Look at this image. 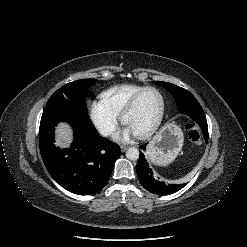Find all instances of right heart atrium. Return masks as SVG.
<instances>
[{"instance_id": "right-heart-atrium-1", "label": "right heart atrium", "mask_w": 247, "mask_h": 247, "mask_svg": "<svg viewBox=\"0 0 247 247\" xmlns=\"http://www.w3.org/2000/svg\"><path fill=\"white\" fill-rule=\"evenodd\" d=\"M88 114L93 125L103 136L111 135L118 124L119 116L102 101H90L88 104Z\"/></svg>"}]
</instances>
